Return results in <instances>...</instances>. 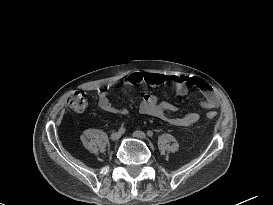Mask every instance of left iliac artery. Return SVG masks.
Instances as JSON below:
<instances>
[{"label": "left iliac artery", "instance_id": "1", "mask_svg": "<svg viewBox=\"0 0 273 205\" xmlns=\"http://www.w3.org/2000/svg\"><path fill=\"white\" fill-rule=\"evenodd\" d=\"M147 135H148L149 137H153V136H154L153 132L150 131V130L147 131Z\"/></svg>", "mask_w": 273, "mask_h": 205}]
</instances>
